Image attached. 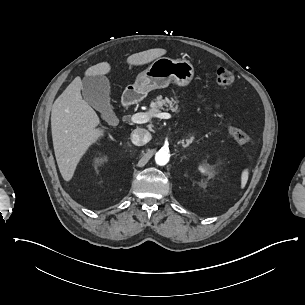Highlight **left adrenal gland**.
<instances>
[{
    "instance_id": "obj_1",
    "label": "left adrenal gland",
    "mask_w": 305,
    "mask_h": 305,
    "mask_svg": "<svg viewBox=\"0 0 305 305\" xmlns=\"http://www.w3.org/2000/svg\"><path fill=\"white\" fill-rule=\"evenodd\" d=\"M193 139H194V137H191L190 139H186V143L184 141H182V146L184 148L188 147L192 143Z\"/></svg>"
}]
</instances>
